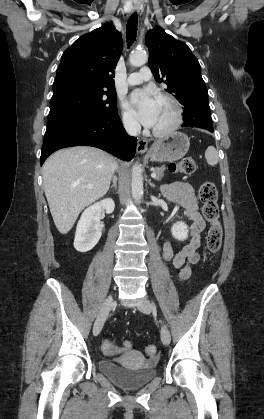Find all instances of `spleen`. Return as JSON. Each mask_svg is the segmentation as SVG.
<instances>
[{
    "mask_svg": "<svg viewBox=\"0 0 264 419\" xmlns=\"http://www.w3.org/2000/svg\"><path fill=\"white\" fill-rule=\"evenodd\" d=\"M205 158L210 166H215L218 163V153L213 146H208V148L205 151Z\"/></svg>",
    "mask_w": 264,
    "mask_h": 419,
    "instance_id": "1",
    "label": "spleen"
}]
</instances>
